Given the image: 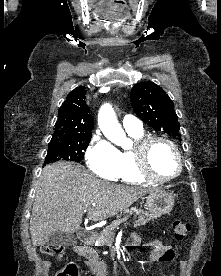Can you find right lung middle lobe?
<instances>
[{
	"label": "right lung middle lobe",
	"mask_w": 221,
	"mask_h": 276,
	"mask_svg": "<svg viewBox=\"0 0 221 276\" xmlns=\"http://www.w3.org/2000/svg\"><path fill=\"white\" fill-rule=\"evenodd\" d=\"M90 140L91 136L51 139L44 165L59 160L79 162L83 158V152L87 149Z\"/></svg>",
	"instance_id": "right-lung-middle-lobe-1"
}]
</instances>
